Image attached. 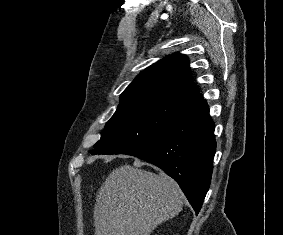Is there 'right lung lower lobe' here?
Masks as SVG:
<instances>
[{
    "mask_svg": "<svg viewBox=\"0 0 283 235\" xmlns=\"http://www.w3.org/2000/svg\"><path fill=\"white\" fill-rule=\"evenodd\" d=\"M215 150L214 122L200 98L164 134L125 154L150 162L172 177L198 214L210 186Z\"/></svg>",
    "mask_w": 283,
    "mask_h": 235,
    "instance_id": "98d812e1",
    "label": "right lung lower lobe"
}]
</instances>
